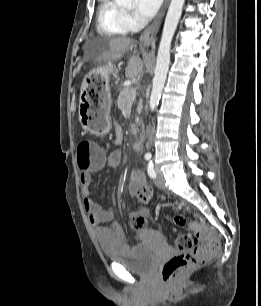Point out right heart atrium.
Segmentation results:
<instances>
[{"label":"right heart atrium","instance_id":"right-heart-atrium-1","mask_svg":"<svg viewBox=\"0 0 261 306\" xmlns=\"http://www.w3.org/2000/svg\"><path fill=\"white\" fill-rule=\"evenodd\" d=\"M124 20L128 26V28H133L136 24L135 19L129 12H124Z\"/></svg>","mask_w":261,"mask_h":306}]
</instances>
